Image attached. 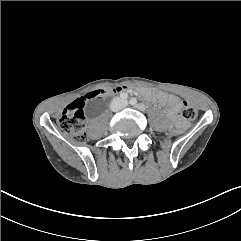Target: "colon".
<instances>
[{
    "mask_svg": "<svg viewBox=\"0 0 241 241\" xmlns=\"http://www.w3.org/2000/svg\"><path fill=\"white\" fill-rule=\"evenodd\" d=\"M118 90L119 88L117 87H108L95 90L86 94L82 99L68 105L62 115L58 118V125L61 131L69 134L76 140L85 141L87 139V136L85 132L86 118L83 112L84 101L98 98ZM181 114L186 120H194L197 117L196 109L187 102L183 103ZM184 132V129L181 127H173L167 130V135L169 137L180 138L184 134Z\"/></svg>",
    "mask_w": 241,
    "mask_h": 241,
    "instance_id": "obj_1",
    "label": "colon"
}]
</instances>
